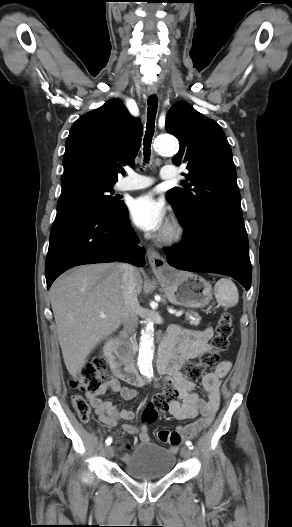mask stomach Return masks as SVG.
<instances>
[{
	"instance_id": "obj_1",
	"label": "stomach",
	"mask_w": 292,
	"mask_h": 527,
	"mask_svg": "<svg viewBox=\"0 0 292 527\" xmlns=\"http://www.w3.org/2000/svg\"><path fill=\"white\" fill-rule=\"evenodd\" d=\"M167 299L190 308L206 306L212 299L211 285L201 276L169 268L156 273Z\"/></svg>"
}]
</instances>
